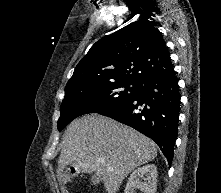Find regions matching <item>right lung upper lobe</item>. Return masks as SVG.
I'll use <instances>...</instances> for the list:
<instances>
[{
	"label": "right lung upper lobe",
	"instance_id": "right-lung-upper-lobe-1",
	"mask_svg": "<svg viewBox=\"0 0 221 193\" xmlns=\"http://www.w3.org/2000/svg\"><path fill=\"white\" fill-rule=\"evenodd\" d=\"M152 18L133 22L97 41L76 66L65 89L114 82H143L173 70Z\"/></svg>",
	"mask_w": 221,
	"mask_h": 193
}]
</instances>
